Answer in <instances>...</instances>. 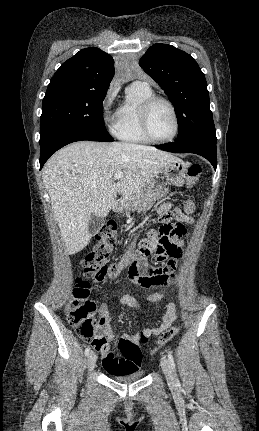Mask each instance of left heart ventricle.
<instances>
[{
	"mask_svg": "<svg viewBox=\"0 0 259 431\" xmlns=\"http://www.w3.org/2000/svg\"><path fill=\"white\" fill-rule=\"evenodd\" d=\"M150 128L154 137L166 139L174 130V119L169 107L163 103H156L150 114Z\"/></svg>",
	"mask_w": 259,
	"mask_h": 431,
	"instance_id": "obj_1",
	"label": "left heart ventricle"
}]
</instances>
